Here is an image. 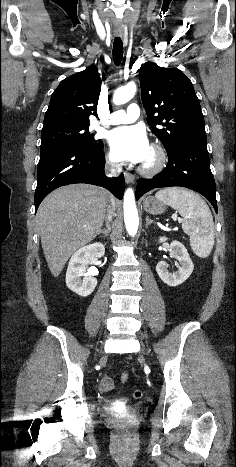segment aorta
I'll use <instances>...</instances> for the list:
<instances>
[{"instance_id":"obj_1","label":"aorta","mask_w":236,"mask_h":467,"mask_svg":"<svg viewBox=\"0 0 236 467\" xmlns=\"http://www.w3.org/2000/svg\"><path fill=\"white\" fill-rule=\"evenodd\" d=\"M136 91V84L133 82L128 83L114 92L113 103L115 105H122L128 102L134 97ZM123 210L126 230L130 236L134 237L137 234L139 218L132 188H128L125 191Z\"/></svg>"}]
</instances>
